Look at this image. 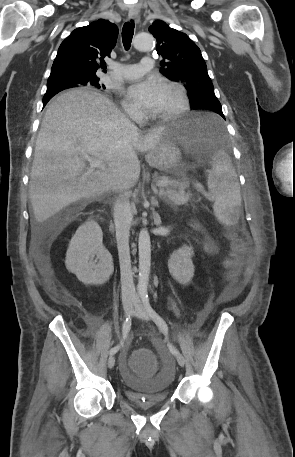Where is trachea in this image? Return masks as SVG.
Segmentation results:
<instances>
[{"instance_id": "1", "label": "trachea", "mask_w": 295, "mask_h": 457, "mask_svg": "<svg viewBox=\"0 0 295 457\" xmlns=\"http://www.w3.org/2000/svg\"><path fill=\"white\" fill-rule=\"evenodd\" d=\"M134 34V20L126 22L122 29V41L125 50H129Z\"/></svg>"}]
</instances>
